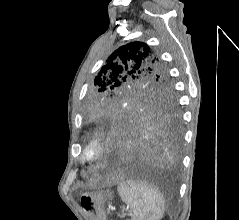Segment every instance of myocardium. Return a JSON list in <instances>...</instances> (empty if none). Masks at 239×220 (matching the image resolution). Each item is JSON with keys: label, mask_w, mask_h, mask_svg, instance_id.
I'll list each match as a JSON object with an SVG mask.
<instances>
[{"label": "myocardium", "mask_w": 239, "mask_h": 220, "mask_svg": "<svg viewBox=\"0 0 239 220\" xmlns=\"http://www.w3.org/2000/svg\"><path fill=\"white\" fill-rule=\"evenodd\" d=\"M107 148L104 136L100 133H93L83 148L81 158L87 163L95 162L105 155Z\"/></svg>", "instance_id": "f54148a6"}]
</instances>
